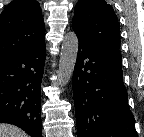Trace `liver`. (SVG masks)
<instances>
[{"label":"liver","instance_id":"1","mask_svg":"<svg viewBox=\"0 0 144 137\" xmlns=\"http://www.w3.org/2000/svg\"><path fill=\"white\" fill-rule=\"evenodd\" d=\"M0 137H27V134L14 125L0 124Z\"/></svg>","mask_w":144,"mask_h":137}]
</instances>
